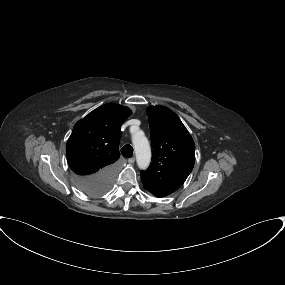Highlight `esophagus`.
I'll return each instance as SVG.
<instances>
[{
  "label": "esophagus",
  "mask_w": 285,
  "mask_h": 285,
  "mask_svg": "<svg viewBox=\"0 0 285 285\" xmlns=\"http://www.w3.org/2000/svg\"><path fill=\"white\" fill-rule=\"evenodd\" d=\"M134 162H135V158L134 157L128 159V163L129 164H133Z\"/></svg>",
  "instance_id": "1"
}]
</instances>
